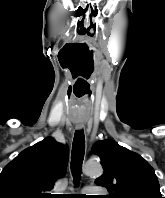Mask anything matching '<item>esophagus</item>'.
Masks as SVG:
<instances>
[{
	"label": "esophagus",
	"instance_id": "1",
	"mask_svg": "<svg viewBox=\"0 0 165 198\" xmlns=\"http://www.w3.org/2000/svg\"><path fill=\"white\" fill-rule=\"evenodd\" d=\"M83 127H84L83 123H77L76 124V128L79 129V130L82 129Z\"/></svg>",
	"mask_w": 165,
	"mask_h": 198
}]
</instances>
